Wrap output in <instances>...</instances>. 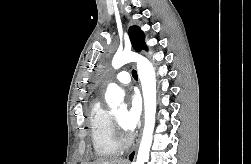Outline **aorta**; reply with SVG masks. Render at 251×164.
Listing matches in <instances>:
<instances>
[{
    "label": "aorta",
    "mask_w": 251,
    "mask_h": 164,
    "mask_svg": "<svg viewBox=\"0 0 251 164\" xmlns=\"http://www.w3.org/2000/svg\"><path fill=\"white\" fill-rule=\"evenodd\" d=\"M130 62L137 63V72L142 85L145 112L143 136L136 162L133 164H144L149 160V152L155 127L156 74L152 63L147 58L132 51L116 53L112 60V66L114 69H119ZM123 98L124 92L117 84L112 83L108 85L105 99L111 108L122 104Z\"/></svg>",
    "instance_id": "aorta-1"
}]
</instances>
